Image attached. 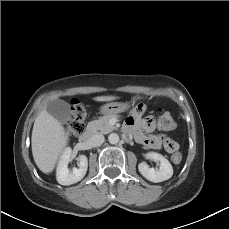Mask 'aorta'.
Returning a JSON list of instances; mask_svg holds the SVG:
<instances>
[{
    "instance_id": "obj_1",
    "label": "aorta",
    "mask_w": 229,
    "mask_h": 229,
    "mask_svg": "<svg viewBox=\"0 0 229 229\" xmlns=\"http://www.w3.org/2000/svg\"><path fill=\"white\" fill-rule=\"evenodd\" d=\"M108 141L110 144H117L119 142V135L116 133H111L108 136Z\"/></svg>"
}]
</instances>
